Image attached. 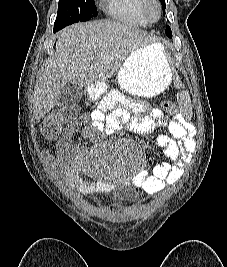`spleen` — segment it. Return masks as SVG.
<instances>
[{"label": "spleen", "instance_id": "1", "mask_svg": "<svg viewBox=\"0 0 227 267\" xmlns=\"http://www.w3.org/2000/svg\"><path fill=\"white\" fill-rule=\"evenodd\" d=\"M156 47H172V42H156ZM178 87H185V82H178ZM177 98H190V93H177ZM176 105H191V100H176ZM180 111H184V115H191V106H180Z\"/></svg>", "mask_w": 227, "mask_h": 267}]
</instances>
